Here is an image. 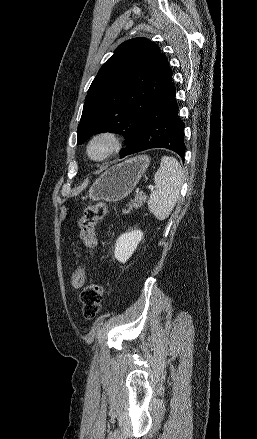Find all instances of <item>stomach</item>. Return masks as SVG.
<instances>
[{"label": "stomach", "mask_w": 257, "mask_h": 439, "mask_svg": "<svg viewBox=\"0 0 257 439\" xmlns=\"http://www.w3.org/2000/svg\"><path fill=\"white\" fill-rule=\"evenodd\" d=\"M150 159L137 156L106 170L89 189L92 201L117 202L126 198L147 170Z\"/></svg>", "instance_id": "obj_1"}]
</instances>
